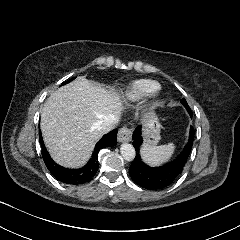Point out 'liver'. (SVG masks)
I'll return each instance as SVG.
<instances>
[{"instance_id":"obj_1","label":"liver","mask_w":240,"mask_h":240,"mask_svg":"<svg viewBox=\"0 0 240 240\" xmlns=\"http://www.w3.org/2000/svg\"><path fill=\"white\" fill-rule=\"evenodd\" d=\"M136 107L134 95L79 76L44 102L40 118L44 145L57 165L81 169L103 136L98 122L109 115L120 118Z\"/></svg>"}]
</instances>
